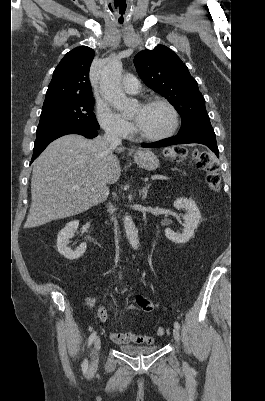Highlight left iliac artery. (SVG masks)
<instances>
[{
	"instance_id": "44dca946",
	"label": "left iliac artery",
	"mask_w": 265,
	"mask_h": 401,
	"mask_svg": "<svg viewBox=\"0 0 265 401\" xmlns=\"http://www.w3.org/2000/svg\"><path fill=\"white\" fill-rule=\"evenodd\" d=\"M174 327L177 328V329H180V324H179L178 321H175V322H174Z\"/></svg>"
}]
</instances>
